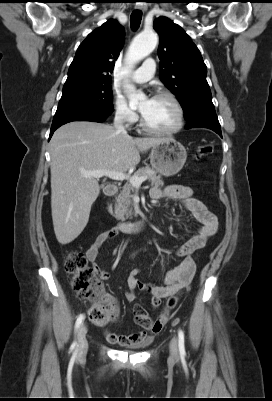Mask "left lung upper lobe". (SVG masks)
I'll return each mask as SVG.
<instances>
[{
    "mask_svg": "<svg viewBox=\"0 0 272 401\" xmlns=\"http://www.w3.org/2000/svg\"><path fill=\"white\" fill-rule=\"evenodd\" d=\"M154 29L160 36V79L177 97L185 119L215 112L206 80L207 68L196 45L179 25L166 17L155 19Z\"/></svg>",
    "mask_w": 272,
    "mask_h": 401,
    "instance_id": "obj_1",
    "label": "left lung upper lobe"
}]
</instances>
